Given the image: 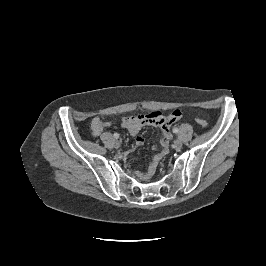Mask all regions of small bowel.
<instances>
[{
  "label": "small bowel",
  "mask_w": 266,
  "mask_h": 266,
  "mask_svg": "<svg viewBox=\"0 0 266 266\" xmlns=\"http://www.w3.org/2000/svg\"><path fill=\"white\" fill-rule=\"evenodd\" d=\"M182 117V112L178 109L172 110L167 114H163L159 111H153L149 113H142L137 115H131L124 117L121 121V126L125 128L131 135L136 136L135 142L137 145L143 144V138L137 136L141 129L145 126H155L161 129L162 138L160 141V150L154 156L147 176H150L158 162L167 154L169 143L171 141V126ZM108 125L101 118L95 117L91 121V131L94 136H99L103 129Z\"/></svg>",
  "instance_id": "c3829d8e"
}]
</instances>
